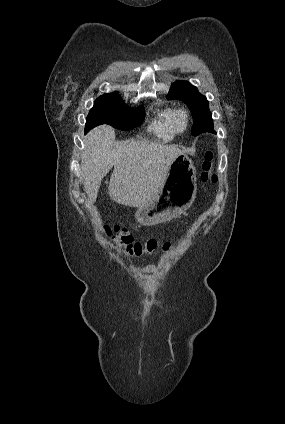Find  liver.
Wrapping results in <instances>:
<instances>
[{
  "mask_svg": "<svg viewBox=\"0 0 285 424\" xmlns=\"http://www.w3.org/2000/svg\"><path fill=\"white\" fill-rule=\"evenodd\" d=\"M81 169L88 204H92L101 181L114 167L108 193L111 200L130 207H142L155 199L168 167L184 151L177 145L152 141H116L108 125L91 130L84 137Z\"/></svg>",
  "mask_w": 285,
  "mask_h": 424,
  "instance_id": "obj_1",
  "label": "liver"
}]
</instances>
